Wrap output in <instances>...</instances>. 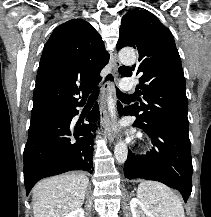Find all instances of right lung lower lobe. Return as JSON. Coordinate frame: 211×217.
<instances>
[{
  "label": "right lung lower lobe",
  "instance_id": "1",
  "mask_svg": "<svg viewBox=\"0 0 211 217\" xmlns=\"http://www.w3.org/2000/svg\"><path fill=\"white\" fill-rule=\"evenodd\" d=\"M85 102L86 99L60 112L31 119L23 154L27 195L42 178L71 170L93 172L94 125H71L73 117L79 112L76 107L83 106ZM99 117L96 108L87 115V121L92 123Z\"/></svg>",
  "mask_w": 211,
  "mask_h": 217
}]
</instances>
